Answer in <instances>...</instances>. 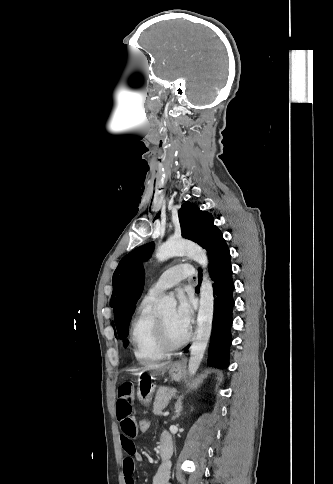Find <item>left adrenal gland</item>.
<instances>
[{
	"label": "left adrenal gland",
	"mask_w": 333,
	"mask_h": 484,
	"mask_svg": "<svg viewBox=\"0 0 333 484\" xmlns=\"http://www.w3.org/2000/svg\"><path fill=\"white\" fill-rule=\"evenodd\" d=\"M181 411H182V404H181V401H179L176 404V410H175V415L173 417V420L178 418L181 415Z\"/></svg>",
	"instance_id": "1"
}]
</instances>
